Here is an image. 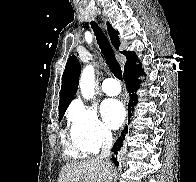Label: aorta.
<instances>
[{"label": "aorta", "mask_w": 196, "mask_h": 182, "mask_svg": "<svg viewBox=\"0 0 196 182\" xmlns=\"http://www.w3.org/2000/svg\"><path fill=\"white\" fill-rule=\"evenodd\" d=\"M80 90L84 99L89 100L93 98L95 91V73L92 65H87L82 71Z\"/></svg>", "instance_id": "1"}]
</instances>
